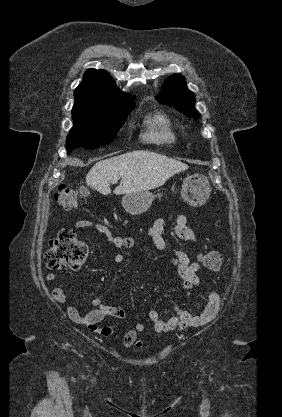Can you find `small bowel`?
<instances>
[{
	"instance_id": "small-bowel-1",
	"label": "small bowel",
	"mask_w": 282,
	"mask_h": 417,
	"mask_svg": "<svg viewBox=\"0 0 282 417\" xmlns=\"http://www.w3.org/2000/svg\"><path fill=\"white\" fill-rule=\"evenodd\" d=\"M173 219V229L176 236L182 240L197 244L198 239L194 231L188 226L187 216L184 214H176ZM166 223V218H157L149 227L147 234L158 251L170 254L171 262L177 267L182 282L183 292L188 293L200 285V279L197 273L202 266L203 260L199 259L192 261L191 255L186 251L170 247L164 236ZM74 228L77 230L91 228L106 234L109 246L116 251L114 254V260L116 262H122L124 260V255L120 252L121 250L133 249L137 243V239L133 236L111 235L109 229L105 225L94 223L90 220H78L74 223ZM56 280L57 275L55 273L47 274L46 281L48 283L54 284ZM51 296L56 302L66 305L67 314L73 322L84 325L104 337L112 336L115 329L111 325L99 327L98 324L108 316L124 319L126 315L122 308L105 304L102 295L95 296L92 300L94 308L83 314L68 301L67 296L61 287L53 286L51 289ZM220 305V294L212 292L205 309L200 314H192L175 305V315L170 318H162L155 308L149 311L148 317L152 323L155 335H162L175 331L181 332L190 327L206 325L212 321L215 318ZM143 330L144 326L142 324L139 323L134 325L124 335L123 346L126 348H141L143 340L139 337V334Z\"/></svg>"
}]
</instances>
